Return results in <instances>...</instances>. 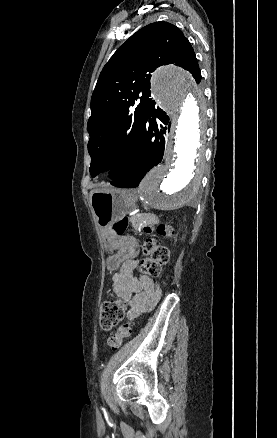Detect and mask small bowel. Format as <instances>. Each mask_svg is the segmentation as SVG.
Wrapping results in <instances>:
<instances>
[{
    "label": "small bowel",
    "instance_id": "small-bowel-1",
    "mask_svg": "<svg viewBox=\"0 0 277 438\" xmlns=\"http://www.w3.org/2000/svg\"><path fill=\"white\" fill-rule=\"evenodd\" d=\"M137 265L136 251L133 247H129L112 283L113 294L129 306L127 313L129 320L151 310L160 296L156 283L150 277L136 274Z\"/></svg>",
    "mask_w": 277,
    "mask_h": 438
}]
</instances>
